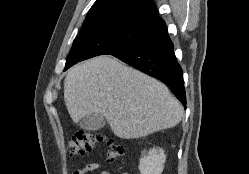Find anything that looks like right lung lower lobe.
Returning <instances> with one entry per match:
<instances>
[{
  "label": "right lung lower lobe",
  "mask_w": 249,
  "mask_h": 174,
  "mask_svg": "<svg viewBox=\"0 0 249 174\" xmlns=\"http://www.w3.org/2000/svg\"><path fill=\"white\" fill-rule=\"evenodd\" d=\"M173 49L167 26L161 21L150 26L139 43L112 55L164 82L186 108L182 69Z\"/></svg>",
  "instance_id": "1"
}]
</instances>
